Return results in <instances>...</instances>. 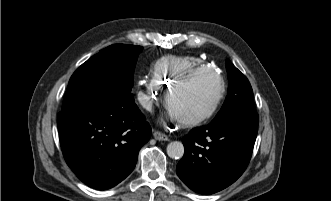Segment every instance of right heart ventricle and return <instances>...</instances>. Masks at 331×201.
Returning a JSON list of instances; mask_svg holds the SVG:
<instances>
[{"instance_id": "right-heart-ventricle-1", "label": "right heart ventricle", "mask_w": 331, "mask_h": 201, "mask_svg": "<svg viewBox=\"0 0 331 201\" xmlns=\"http://www.w3.org/2000/svg\"><path fill=\"white\" fill-rule=\"evenodd\" d=\"M203 66H205L203 62L196 57H163L153 65L152 79L167 88L187 72Z\"/></svg>"}]
</instances>
